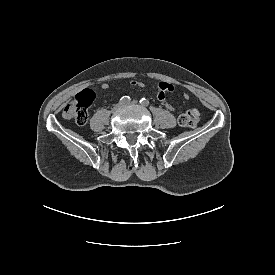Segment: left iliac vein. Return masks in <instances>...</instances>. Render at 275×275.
I'll use <instances>...</instances> for the list:
<instances>
[{
    "mask_svg": "<svg viewBox=\"0 0 275 275\" xmlns=\"http://www.w3.org/2000/svg\"><path fill=\"white\" fill-rule=\"evenodd\" d=\"M136 104H137L136 101H132V102H129V103L125 104V105H136Z\"/></svg>",
    "mask_w": 275,
    "mask_h": 275,
    "instance_id": "4c4485c4",
    "label": "left iliac vein"
}]
</instances>
